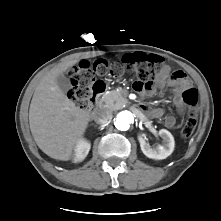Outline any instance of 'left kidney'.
Returning a JSON list of instances; mask_svg holds the SVG:
<instances>
[{"instance_id":"left-kidney-1","label":"left kidney","mask_w":221,"mask_h":221,"mask_svg":"<svg viewBox=\"0 0 221 221\" xmlns=\"http://www.w3.org/2000/svg\"><path fill=\"white\" fill-rule=\"evenodd\" d=\"M159 135L163 139V144L156 147H151L142 135L138 136L141 150L148 158L162 160L167 158L174 150L175 142L172 134L166 129H161Z\"/></svg>"}]
</instances>
